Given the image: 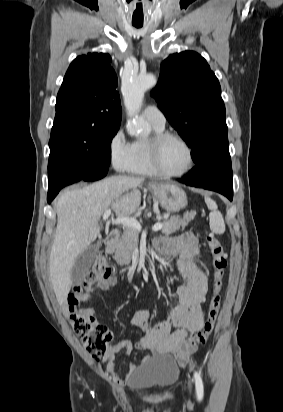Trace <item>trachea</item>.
Returning <instances> with one entry per match:
<instances>
[{"label": "trachea", "mask_w": 283, "mask_h": 412, "mask_svg": "<svg viewBox=\"0 0 283 412\" xmlns=\"http://www.w3.org/2000/svg\"><path fill=\"white\" fill-rule=\"evenodd\" d=\"M136 28L142 27L143 24H133Z\"/></svg>", "instance_id": "obj_1"}]
</instances>
